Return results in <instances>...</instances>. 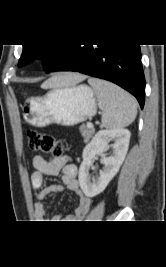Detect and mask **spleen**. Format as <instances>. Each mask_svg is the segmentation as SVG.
<instances>
[{"instance_id":"3e777b00","label":"spleen","mask_w":166,"mask_h":267,"mask_svg":"<svg viewBox=\"0 0 166 267\" xmlns=\"http://www.w3.org/2000/svg\"><path fill=\"white\" fill-rule=\"evenodd\" d=\"M88 83L97 94L99 108L103 111L102 124L108 129L130 125L137 115V102L120 87L101 79L90 78Z\"/></svg>"}]
</instances>
